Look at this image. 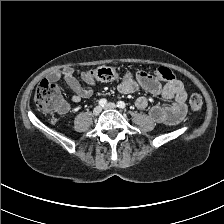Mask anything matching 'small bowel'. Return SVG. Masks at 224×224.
Listing matches in <instances>:
<instances>
[{
  "instance_id": "obj_1",
  "label": "small bowel",
  "mask_w": 224,
  "mask_h": 224,
  "mask_svg": "<svg viewBox=\"0 0 224 224\" xmlns=\"http://www.w3.org/2000/svg\"><path fill=\"white\" fill-rule=\"evenodd\" d=\"M80 77L88 86L82 85L78 79ZM63 78L68 87L73 91L71 97L73 102H79L83 98H89L93 94L91 86L95 84L87 73L76 70L73 67H66L60 71H54L50 74L49 80L56 82ZM144 89L152 95H160L164 100L170 101L167 106L155 105L149 109L150 118L156 123L166 125H176L180 123L186 115L187 92L184 84L177 79L167 82L161 86L152 76L145 72H140L136 76L126 75L118 84V89L124 94ZM138 109L145 111L149 107V99L141 96L136 101Z\"/></svg>"
}]
</instances>
